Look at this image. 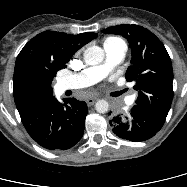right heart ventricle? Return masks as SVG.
Wrapping results in <instances>:
<instances>
[{
	"mask_svg": "<svg viewBox=\"0 0 187 187\" xmlns=\"http://www.w3.org/2000/svg\"><path fill=\"white\" fill-rule=\"evenodd\" d=\"M119 42H123L120 38H116V37H109L106 38L104 40V46L108 45V44H114V43H119Z\"/></svg>",
	"mask_w": 187,
	"mask_h": 187,
	"instance_id": "obj_1",
	"label": "right heart ventricle"
}]
</instances>
